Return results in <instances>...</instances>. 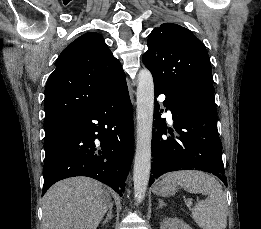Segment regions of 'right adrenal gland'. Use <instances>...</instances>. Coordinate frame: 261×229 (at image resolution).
Masks as SVG:
<instances>
[{
    "label": "right adrenal gland",
    "instance_id": "right-adrenal-gland-1",
    "mask_svg": "<svg viewBox=\"0 0 261 229\" xmlns=\"http://www.w3.org/2000/svg\"><path fill=\"white\" fill-rule=\"evenodd\" d=\"M112 209H113V203H111V205H109V211L107 213V217H106L105 221H103V225H106V223H108L109 219H112Z\"/></svg>",
    "mask_w": 261,
    "mask_h": 229
}]
</instances>
